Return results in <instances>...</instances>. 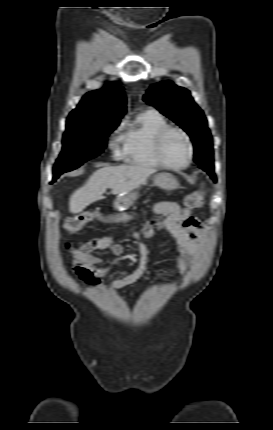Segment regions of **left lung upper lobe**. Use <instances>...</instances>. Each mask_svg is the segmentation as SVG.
<instances>
[{
  "mask_svg": "<svg viewBox=\"0 0 273 430\" xmlns=\"http://www.w3.org/2000/svg\"><path fill=\"white\" fill-rule=\"evenodd\" d=\"M143 99L190 135L195 148L194 161L197 164L213 161L212 137L207 120L187 89L178 87L171 81H163L152 85Z\"/></svg>",
  "mask_w": 273,
  "mask_h": 430,
  "instance_id": "5c2ea615",
  "label": "left lung upper lobe"
}]
</instances>
